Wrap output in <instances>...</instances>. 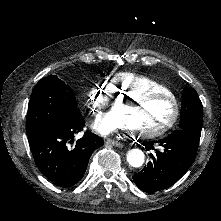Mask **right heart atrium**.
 <instances>
[{"label":"right heart atrium","mask_w":221,"mask_h":221,"mask_svg":"<svg viewBox=\"0 0 221 221\" xmlns=\"http://www.w3.org/2000/svg\"><path fill=\"white\" fill-rule=\"evenodd\" d=\"M113 92L114 87L111 85V79L108 76L100 77L97 80L96 87L90 92L88 108L91 111L102 110L105 105L111 102Z\"/></svg>","instance_id":"1"}]
</instances>
